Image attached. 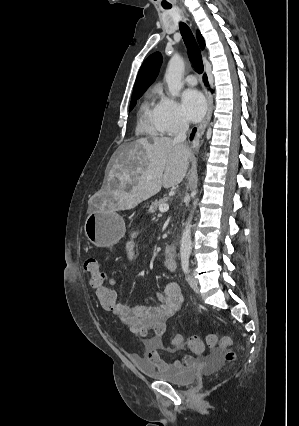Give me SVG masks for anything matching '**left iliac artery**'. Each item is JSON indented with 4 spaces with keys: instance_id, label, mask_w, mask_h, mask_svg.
<instances>
[{
    "instance_id": "obj_1",
    "label": "left iliac artery",
    "mask_w": 299,
    "mask_h": 426,
    "mask_svg": "<svg viewBox=\"0 0 299 426\" xmlns=\"http://www.w3.org/2000/svg\"><path fill=\"white\" fill-rule=\"evenodd\" d=\"M182 269L184 271V273H188L189 272V262L188 261H182Z\"/></svg>"
}]
</instances>
